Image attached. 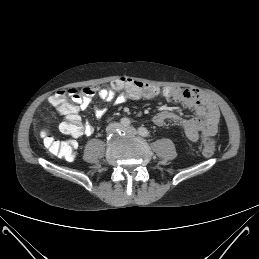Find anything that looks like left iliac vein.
Instances as JSON below:
<instances>
[{
	"instance_id": "1",
	"label": "left iliac vein",
	"mask_w": 259,
	"mask_h": 259,
	"mask_svg": "<svg viewBox=\"0 0 259 259\" xmlns=\"http://www.w3.org/2000/svg\"><path fill=\"white\" fill-rule=\"evenodd\" d=\"M122 129L130 135H136L138 133L137 130L133 127H122Z\"/></svg>"
}]
</instances>
